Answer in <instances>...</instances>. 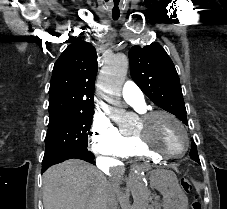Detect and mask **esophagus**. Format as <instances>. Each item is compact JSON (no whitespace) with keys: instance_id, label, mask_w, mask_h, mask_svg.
<instances>
[{"instance_id":"obj_1","label":"esophagus","mask_w":227,"mask_h":209,"mask_svg":"<svg viewBox=\"0 0 227 209\" xmlns=\"http://www.w3.org/2000/svg\"><path fill=\"white\" fill-rule=\"evenodd\" d=\"M141 173L142 174H147L148 171L151 170V165L150 164H145L144 166L140 167Z\"/></svg>"}]
</instances>
